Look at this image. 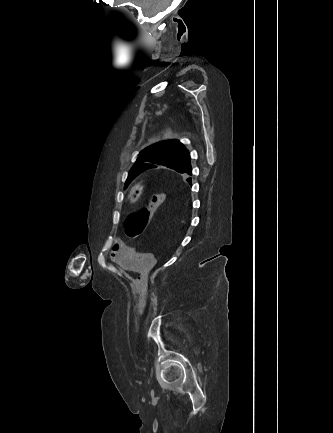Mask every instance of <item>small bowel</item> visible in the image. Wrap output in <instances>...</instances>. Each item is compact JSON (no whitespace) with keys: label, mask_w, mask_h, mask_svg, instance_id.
<instances>
[{"label":"small bowel","mask_w":333,"mask_h":433,"mask_svg":"<svg viewBox=\"0 0 333 433\" xmlns=\"http://www.w3.org/2000/svg\"><path fill=\"white\" fill-rule=\"evenodd\" d=\"M111 260L118 266L141 274H147L156 263V256L151 252L140 253L134 247L116 243L111 249ZM146 305V296L140 292L137 294V311L142 314Z\"/></svg>","instance_id":"small-bowel-1"}]
</instances>
